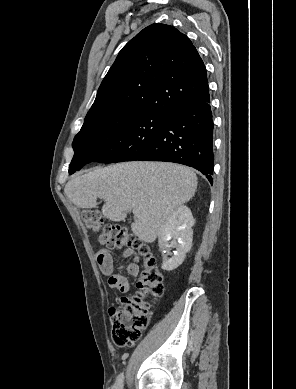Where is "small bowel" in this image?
<instances>
[{
  "label": "small bowel",
  "instance_id": "c3829d8e",
  "mask_svg": "<svg viewBox=\"0 0 296 389\" xmlns=\"http://www.w3.org/2000/svg\"><path fill=\"white\" fill-rule=\"evenodd\" d=\"M124 255L127 257H132L134 256V252L128 249L125 251ZM95 259L100 267L101 272L108 277L107 281L109 287L118 289L121 293H126L129 291L130 282L128 278L124 275L114 272V263L111 251L109 249L103 248L98 250L95 254ZM134 260V262L127 266V272L132 277H136L139 274L137 258L135 257Z\"/></svg>",
  "mask_w": 296,
  "mask_h": 389
}]
</instances>
